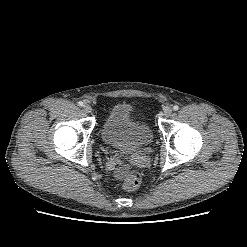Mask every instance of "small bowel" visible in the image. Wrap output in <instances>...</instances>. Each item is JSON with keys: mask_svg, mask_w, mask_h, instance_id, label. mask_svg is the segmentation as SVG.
<instances>
[{"mask_svg": "<svg viewBox=\"0 0 247 247\" xmlns=\"http://www.w3.org/2000/svg\"><path fill=\"white\" fill-rule=\"evenodd\" d=\"M121 172H122V169H117V171H116V173H117L118 175H120Z\"/></svg>", "mask_w": 247, "mask_h": 247, "instance_id": "1", "label": "small bowel"}]
</instances>
